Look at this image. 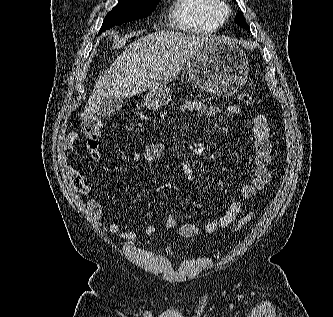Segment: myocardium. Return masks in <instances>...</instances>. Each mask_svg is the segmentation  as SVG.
Here are the masks:
<instances>
[{
  "label": "myocardium",
  "mask_w": 333,
  "mask_h": 317,
  "mask_svg": "<svg viewBox=\"0 0 333 317\" xmlns=\"http://www.w3.org/2000/svg\"><path fill=\"white\" fill-rule=\"evenodd\" d=\"M217 12L222 18L227 19L231 14V8L224 1L218 0Z\"/></svg>",
  "instance_id": "1"
}]
</instances>
